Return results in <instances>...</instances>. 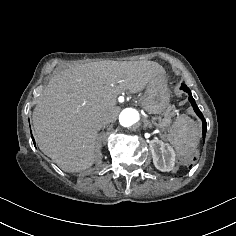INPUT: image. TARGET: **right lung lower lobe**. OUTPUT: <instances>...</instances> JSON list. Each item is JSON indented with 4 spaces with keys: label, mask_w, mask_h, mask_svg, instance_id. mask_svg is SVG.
<instances>
[{
    "label": "right lung lower lobe",
    "mask_w": 236,
    "mask_h": 236,
    "mask_svg": "<svg viewBox=\"0 0 236 236\" xmlns=\"http://www.w3.org/2000/svg\"><path fill=\"white\" fill-rule=\"evenodd\" d=\"M32 139H33V142L35 143V140H34L33 136H32Z\"/></svg>",
    "instance_id": "obj_1"
}]
</instances>
